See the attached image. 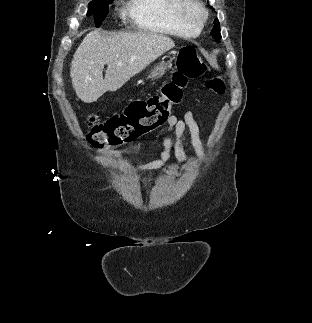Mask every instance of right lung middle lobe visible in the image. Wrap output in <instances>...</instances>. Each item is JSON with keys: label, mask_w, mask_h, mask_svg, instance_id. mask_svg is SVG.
Returning <instances> with one entry per match:
<instances>
[{"label": "right lung middle lobe", "mask_w": 312, "mask_h": 323, "mask_svg": "<svg viewBox=\"0 0 312 323\" xmlns=\"http://www.w3.org/2000/svg\"><path fill=\"white\" fill-rule=\"evenodd\" d=\"M112 1L113 0H109L107 2L92 1L89 3L87 15L94 16L97 27L100 26L102 21L107 16L109 10L108 4Z\"/></svg>", "instance_id": "obj_1"}]
</instances>
